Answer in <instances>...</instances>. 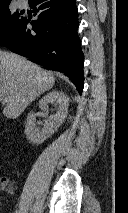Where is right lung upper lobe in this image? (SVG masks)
Segmentation results:
<instances>
[{
	"label": "right lung upper lobe",
	"mask_w": 128,
	"mask_h": 213,
	"mask_svg": "<svg viewBox=\"0 0 128 213\" xmlns=\"http://www.w3.org/2000/svg\"><path fill=\"white\" fill-rule=\"evenodd\" d=\"M11 0H0V6H3V5H7L10 3ZM31 1V0H29Z\"/></svg>",
	"instance_id": "right-lung-upper-lobe-1"
}]
</instances>
